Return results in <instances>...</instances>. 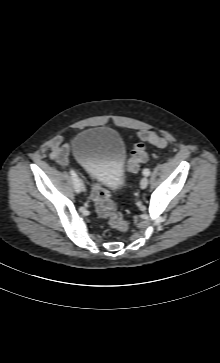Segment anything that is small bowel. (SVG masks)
<instances>
[{
  "instance_id": "obj_1",
  "label": "small bowel",
  "mask_w": 220,
  "mask_h": 363,
  "mask_svg": "<svg viewBox=\"0 0 220 363\" xmlns=\"http://www.w3.org/2000/svg\"><path fill=\"white\" fill-rule=\"evenodd\" d=\"M51 158L62 166L69 164V146L62 143V139L57 137L51 146Z\"/></svg>"
}]
</instances>
